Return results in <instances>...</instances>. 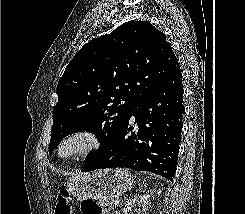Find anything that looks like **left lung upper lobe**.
Here are the masks:
<instances>
[{"instance_id":"obj_1","label":"left lung upper lobe","mask_w":245,"mask_h":214,"mask_svg":"<svg viewBox=\"0 0 245 214\" xmlns=\"http://www.w3.org/2000/svg\"><path fill=\"white\" fill-rule=\"evenodd\" d=\"M178 64L165 34L146 21L126 22L86 43L59 79L49 154L75 132L95 134L96 153L109 146L141 99Z\"/></svg>"}]
</instances>
